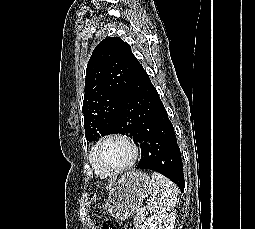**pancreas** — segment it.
<instances>
[{"instance_id":"pancreas-1","label":"pancreas","mask_w":255,"mask_h":229,"mask_svg":"<svg viewBox=\"0 0 255 229\" xmlns=\"http://www.w3.org/2000/svg\"><path fill=\"white\" fill-rule=\"evenodd\" d=\"M145 212H138L134 218V226L135 229H141V225L144 222L145 219Z\"/></svg>"}]
</instances>
